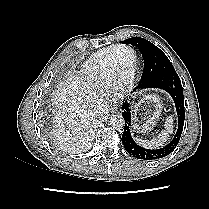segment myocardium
<instances>
[{"mask_svg": "<svg viewBox=\"0 0 209 209\" xmlns=\"http://www.w3.org/2000/svg\"><path fill=\"white\" fill-rule=\"evenodd\" d=\"M125 50H129L133 53L134 58L136 57L135 50L128 45H120L112 54L110 63L107 70V81L106 86L114 92H124L131 86L135 71H136V60L131 65V68L125 75H120L117 72L116 61L118 55Z\"/></svg>", "mask_w": 209, "mask_h": 209, "instance_id": "myocardium-1", "label": "myocardium"}]
</instances>
